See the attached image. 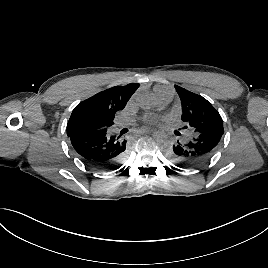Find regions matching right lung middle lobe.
<instances>
[{"label":"right lung middle lobe","mask_w":268,"mask_h":268,"mask_svg":"<svg viewBox=\"0 0 268 268\" xmlns=\"http://www.w3.org/2000/svg\"><path fill=\"white\" fill-rule=\"evenodd\" d=\"M114 123L110 120L92 116H77L69 119L67 124V135L82 134L95 135L106 132Z\"/></svg>","instance_id":"obj_1"}]
</instances>
